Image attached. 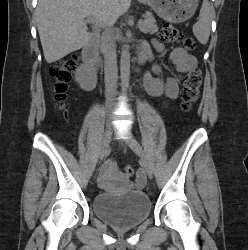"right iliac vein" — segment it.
Instances as JSON below:
<instances>
[{"label": "right iliac vein", "mask_w": 248, "mask_h": 250, "mask_svg": "<svg viewBox=\"0 0 248 250\" xmlns=\"http://www.w3.org/2000/svg\"><path fill=\"white\" fill-rule=\"evenodd\" d=\"M112 132H113L112 123L108 121L106 123V128H105L104 136H103L100 151H99V156H98L99 161H102L104 157L107 155L111 137H112Z\"/></svg>", "instance_id": "1"}]
</instances>
